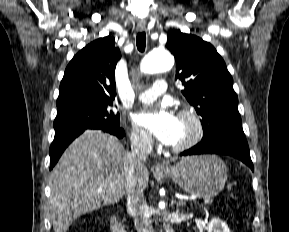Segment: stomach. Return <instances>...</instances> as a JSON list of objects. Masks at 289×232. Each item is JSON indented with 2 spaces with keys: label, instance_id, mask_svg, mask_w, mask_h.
I'll use <instances>...</instances> for the list:
<instances>
[{
  "label": "stomach",
  "instance_id": "stomach-1",
  "mask_svg": "<svg viewBox=\"0 0 289 232\" xmlns=\"http://www.w3.org/2000/svg\"><path fill=\"white\" fill-rule=\"evenodd\" d=\"M227 173L228 169L219 157L201 155L182 158L176 165L160 171L159 175L171 178L191 195L211 198L224 188Z\"/></svg>",
  "mask_w": 289,
  "mask_h": 232
}]
</instances>
